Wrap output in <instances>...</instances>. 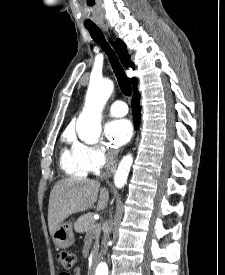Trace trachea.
I'll return each instance as SVG.
<instances>
[{
  "label": "trachea",
  "instance_id": "trachea-1",
  "mask_svg": "<svg viewBox=\"0 0 225 275\" xmlns=\"http://www.w3.org/2000/svg\"><path fill=\"white\" fill-rule=\"evenodd\" d=\"M90 32L93 40L98 43L103 51L108 55V58L111 62L113 71L117 77L120 89L122 93L126 96L131 95V83L127 75L125 74L123 68L121 67L118 58L116 57L114 51L110 48V46L106 43L104 35L102 31L97 26L86 27Z\"/></svg>",
  "mask_w": 225,
  "mask_h": 275
}]
</instances>
